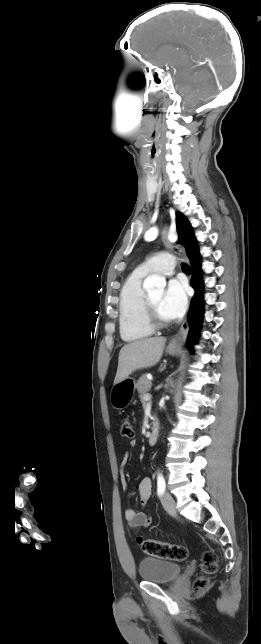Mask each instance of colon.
<instances>
[{
    "instance_id": "5ec220e1",
    "label": "colon",
    "mask_w": 261,
    "mask_h": 644,
    "mask_svg": "<svg viewBox=\"0 0 261 644\" xmlns=\"http://www.w3.org/2000/svg\"><path fill=\"white\" fill-rule=\"evenodd\" d=\"M121 435L126 438L134 436V427L130 419L125 418L121 423ZM141 550L152 557L172 560L184 561L188 557V549L185 546L165 543L153 539H138ZM202 570L205 575L214 574L217 571V556L212 551L204 552L202 556ZM208 585L206 576L199 577L194 583V589L201 591Z\"/></svg>"
}]
</instances>
